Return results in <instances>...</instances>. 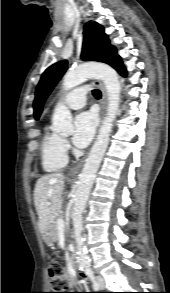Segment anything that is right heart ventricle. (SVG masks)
I'll return each mask as SVG.
<instances>
[{
    "label": "right heart ventricle",
    "mask_w": 170,
    "mask_h": 293,
    "mask_svg": "<svg viewBox=\"0 0 170 293\" xmlns=\"http://www.w3.org/2000/svg\"><path fill=\"white\" fill-rule=\"evenodd\" d=\"M40 157L42 169L49 173L61 170L68 161L60 136L51 131L48 126L43 129Z\"/></svg>",
    "instance_id": "right-heart-ventricle-1"
}]
</instances>
